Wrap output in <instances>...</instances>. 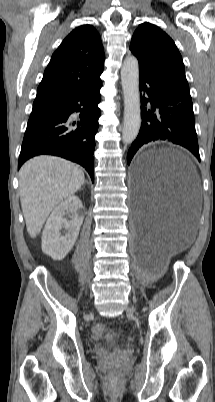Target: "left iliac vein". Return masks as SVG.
Instances as JSON below:
<instances>
[{"label": "left iliac vein", "instance_id": "left-iliac-vein-1", "mask_svg": "<svg viewBox=\"0 0 215 402\" xmlns=\"http://www.w3.org/2000/svg\"><path fill=\"white\" fill-rule=\"evenodd\" d=\"M134 310H135L134 306H130V307L127 309L128 312H132V311H134Z\"/></svg>", "mask_w": 215, "mask_h": 402}]
</instances>
